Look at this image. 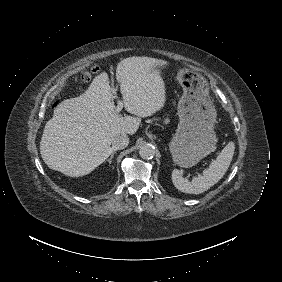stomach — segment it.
<instances>
[{
    "label": "stomach",
    "instance_id": "stomach-1",
    "mask_svg": "<svg viewBox=\"0 0 282 282\" xmlns=\"http://www.w3.org/2000/svg\"><path fill=\"white\" fill-rule=\"evenodd\" d=\"M149 69L166 76L163 63H152ZM175 78L183 87V94L177 105L180 123L170 147L175 162L190 167L213 151L217 142L214 132L217 113L204 76L179 69Z\"/></svg>",
    "mask_w": 282,
    "mask_h": 282
}]
</instances>
